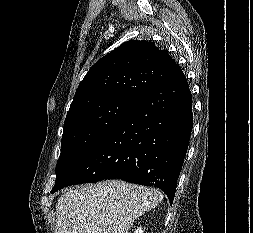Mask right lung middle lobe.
Instances as JSON below:
<instances>
[{
  "label": "right lung middle lobe",
  "mask_w": 253,
  "mask_h": 233,
  "mask_svg": "<svg viewBox=\"0 0 253 233\" xmlns=\"http://www.w3.org/2000/svg\"><path fill=\"white\" fill-rule=\"evenodd\" d=\"M134 101L112 97L78 107L67 114L55 183L116 126Z\"/></svg>",
  "instance_id": "1"
}]
</instances>
